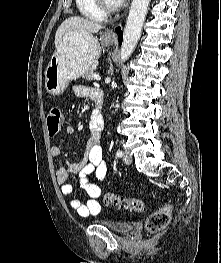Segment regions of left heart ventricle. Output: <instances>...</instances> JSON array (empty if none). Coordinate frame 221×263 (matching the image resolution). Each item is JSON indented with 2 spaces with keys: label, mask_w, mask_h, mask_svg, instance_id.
Listing matches in <instances>:
<instances>
[{
  "label": "left heart ventricle",
  "mask_w": 221,
  "mask_h": 263,
  "mask_svg": "<svg viewBox=\"0 0 221 263\" xmlns=\"http://www.w3.org/2000/svg\"><path fill=\"white\" fill-rule=\"evenodd\" d=\"M109 4H112V5H116L115 3H114V0H106Z\"/></svg>",
  "instance_id": "1"
}]
</instances>
